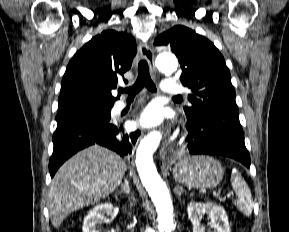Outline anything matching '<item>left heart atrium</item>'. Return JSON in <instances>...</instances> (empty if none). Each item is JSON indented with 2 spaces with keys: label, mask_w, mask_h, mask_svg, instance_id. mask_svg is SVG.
<instances>
[{
  "label": "left heart atrium",
  "mask_w": 289,
  "mask_h": 232,
  "mask_svg": "<svg viewBox=\"0 0 289 232\" xmlns=\"http://www.w3.org/2000/svg\"><path fill=\"white\" fill-rule=\"evenodd\" d=\"M163 122V114L156 106L145 108L136 120V125L142 128H153Z\"/></svg>",
  "instance_id": "39dd6f15"
}]
</instances>
